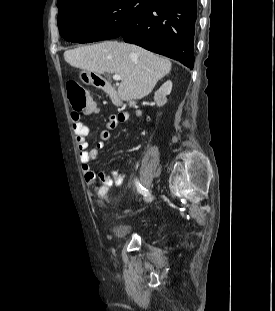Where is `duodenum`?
Segmentation results:
<instances>
[{
  "label": "duodenum",
  "instance_id": "410a0bca",
  "mask_svg": "<svg viewBox=\"0 0 275 311\" xmlns=\"http://www.w3.org/2000/svg\"><path fill=\"white\" fill-rule=\"evenodd\" d=\"M89 79L92 84H95L97 88L109 95L114 102H120L121 99L117 93V90L107 81L104 80L101 74H94V70H89Z\"/></svg>",
  "mask_w": 275,
  "mask_h": 311
}]
</instances>
